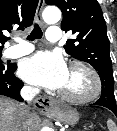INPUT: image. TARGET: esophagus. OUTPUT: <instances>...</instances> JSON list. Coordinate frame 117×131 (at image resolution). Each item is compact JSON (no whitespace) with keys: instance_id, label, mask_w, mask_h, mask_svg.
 I'll list each match as a JSON object with an SVG mask.
<instances>
[{"instance_id":"esophagus-1","label":"esophagus","mask_w":117,"mask_h":131,"mask_svg":"<svg viewBox=\"0 0 117 131\" xmlns=\"http://www.w3.org/2000/svg\"><path fill=\"white\" fill-rule=\"evenodd\" d=\"M44 3V0H39L36 10V19L41 25H43L41 14L44 7ZM34 105L40 113H48L54 109V100L46 96L38 97L34 101Z\"/></svg>"}]
</instances>
